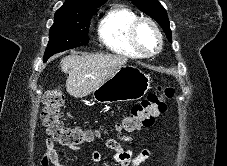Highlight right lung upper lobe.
<instances>
[{"instance_id":"right-lung-upper-lobe-1","label":"right lung upper lobe","mask_w":227,"mask_h":166,"mask_svg":"<svg viewBox=\"0 0 227 166\" xmlns=\"http://www.w3.org/2000/svg\"><path fill=\"white\" fill-rule=\"evenodd\" d=\"M107 0H66L64 5L55 14L79 13L90 8L99 7Z\"/></svg>"}]
</instances>
